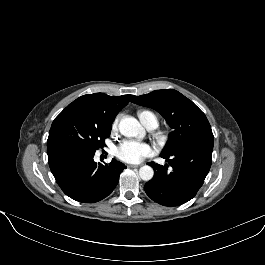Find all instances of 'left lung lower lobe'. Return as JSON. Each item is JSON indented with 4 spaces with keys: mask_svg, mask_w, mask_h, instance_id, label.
I'll return each instance as SVG.
<instances>
[{
    "mask_svg": "<svg viewBox=\"0 0 265 265\" xmlns=\"http://www.w3.org/2000/svg\"><path fill=\"white\" fill-rule=\"evenodd\" d=\"M213 144V133H204L171 153H162L168 165L150 163L154 176L144 186L147 195L164 206H179L191 200L210 170Z\"/></svg>",
    "mask_w": 265,
    "mask_h": 265,
    "instance_id": "left-lung-lower-lobe-1",
    "label": "left lung lower lobe"
}]
</instances>
